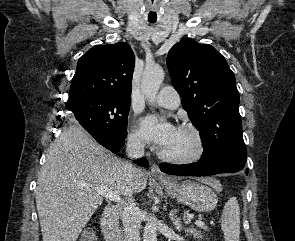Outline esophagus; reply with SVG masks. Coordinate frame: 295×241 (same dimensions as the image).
Returning <instances> with one entry per match:
<instances>
[{
  "label": "esophagus",
  "mask_w": 295,
  "mask_h": 241,
  "mask_svg": "<svg viewBox=\"0 0 295 241\" xmlns=\"http://www.w3.org/2000/svg\"><path fill=\"white\" fill-rule=\"evenodd\" d=\"M151 175L158 179H167L168 177L161 172L159 166L157 164H153L151 167Z\"/></svg>",
  "instance_id": "1"
}]
</instances>
